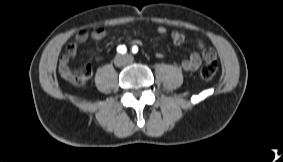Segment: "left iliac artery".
Listing matches in <instances>:
<instances>
[{
    "instance_id": "obj_1",
    "label": "left iliac artery",
    "mask_w": 283,
    "mask_h": 162,
    "mask_svg": "<svg viewBox=\"0 0 283 162\" xmlns=\"http://www.w3.org/2000/svg\"><path fill=\"white\" fill-rule=\"evenodd\" d=\"M132 52L135 54L138 52V47L137 46H133L132 47Z\"/></svg>"
}]
</instances>
